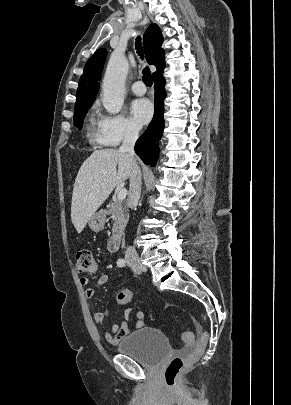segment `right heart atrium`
I'll use <instances>...</instances> for the list:
<instances>
[{"label":"right heart atrium","instance_id":"obj_1","mask_svg":"<svg viewBox=\"0 0 291 405\" xmlns=\"http://www.w3.org/2000/svg\"><path fill=\"white\" fill-rule=\"evenodd\" d=\"M139 126L122 114H100L97 120V142L106 147H116L124 141L139 136Z\"/></svg>","mask_w":291,"mask_h":405}]
</instances>
